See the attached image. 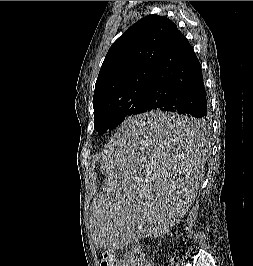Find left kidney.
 Listing matches in <instances>:
<instances>
[{
  "label": "left kidney",
  "mask_w": 253,
  "mask_h": 266,
  "mask_svg": "<svg viewBox=\"0 0 253 266\" xmlns=\"http://www.w3.org/2000/svg\"><path fill=\"white\" fill-rule=\"evenodd\" d=\"M175 221H176V217H174V218L172 219V223H171V225H173V224L175 223Z\"/></svg>",
  "instance_id": "left-kidney-1"
}]
</instances>
